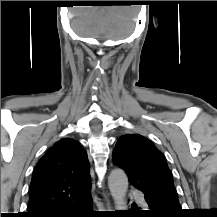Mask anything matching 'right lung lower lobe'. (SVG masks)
<instances>
[{"label":"right lung lower lobe","instance_id":"1","mask_svg":"<svg viewBox=\"0 0 217 217\" xmlns=\"http://www.w3.org/2000/svg\"><path fill=\"white\" fill-rule=\"evenodd\" d=\"M91 209L92 198L90 196L86 201L74 205L64 206L49 215H45L44 217H94V212Z\"/></svg>","mask_w":217,"mask_h":217}]
</instances>
